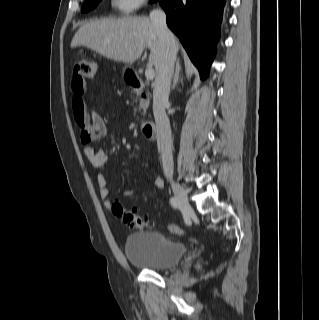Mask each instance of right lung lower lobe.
<instances>
[{"label":"right lung lower lobe","mask_w":319,"mask_h":320,"mask_svg":"<svg viewBox=\"0 0 319 320\" xmlns=\"http://www.w3.org/2000/svg\"><path fill=\"white\" fill-rule=\"evenodd\" d=\"M167 14L168 27L179 37L202 78H206L220 38L226 0H154Z\"/></svg>","instance_id":"98d812e1"}]
</instances>
